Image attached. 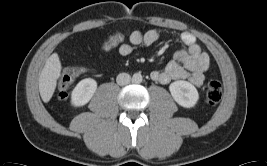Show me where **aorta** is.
<instances>
[{
	"instance_id": "aorta-1",
	"label": "aorta",
	"mask_w": 267,
	"mask_h": 166,
	"mask_svg": "<svg viewBox=\"0 0 267 166\" xmlns=\"http://www.w3.org/2000/svg\"><path fill=\"white\" fill-rule=\"evenodd\" d=\"M142 80H143V77H142V75H141L140 73H135V74L132 76V81H133L134 83L139 84V83L142 82Z\"/></svg>"
}]
</instances>
